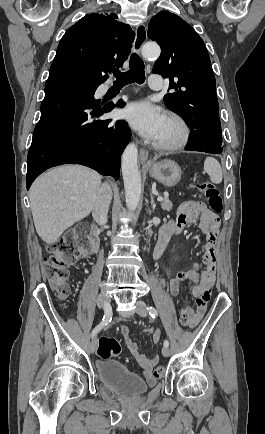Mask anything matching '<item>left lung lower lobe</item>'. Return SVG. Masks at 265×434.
Segmentation results:
<instances>
[{
  "instance_id": "obj_1",
  "label": "left lung lower lobe",
  "mask_w": 265,
  "mask_h": 434,
  "mask_svg": "<svg viewBox=\"0 0 265 434\" xmlns=\"http://www.w3.org/2000/svg\"><path fill=\"white\" fill-rule=\"evenodd\" d=\"M185 150L219 154L223 151L222 137H210L191 132Z\"/></svg>"
}]
</instances>
